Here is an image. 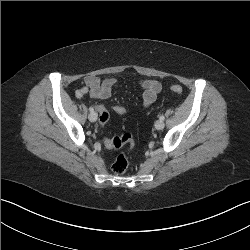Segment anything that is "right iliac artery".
Here are the masks:
<instances>
[{
	"mask_svg": "<svg viewBox=\"0 0 250 250\" xmlns=\"http://www.w3.org/2000/svg\"><path fill=\"white\" fill-rule=\"evenodd\" d=\"M90 112H94V109L92 107L89 108Z\"/></svg>",
	"mask_w": 250,
	"mask_h": 250,
	"instance_id": "right-iliac-artery-1",
	"label": "right iliac artery"
}]
</instances>
